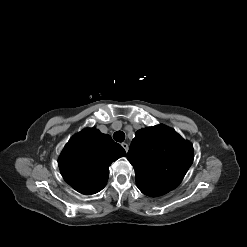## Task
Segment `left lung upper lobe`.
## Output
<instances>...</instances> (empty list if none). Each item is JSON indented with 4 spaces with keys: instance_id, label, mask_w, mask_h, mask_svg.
<instances>
[{
    "instance_id": "left-lung-upper-lobe-1",
    "label": "left lung upper lobe",
    "mask_w": 247,
    "mask_h": 247,
    "mask_svg": "<svg viewBox=\"0 0 247 247\" xmlns=\"http://www.w3.org/2000/svg\"><path fill=\"white\" fill-rule=\"evenodd\" d=\"M194 150L175 130L156 125L138 130L127 157L135 169L136 185L151 197L175 189L193 163Z\"/></svg>"
}]
</instances>
